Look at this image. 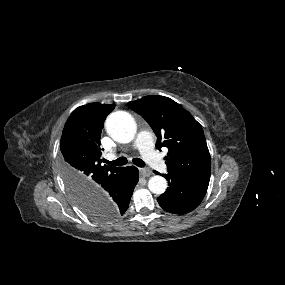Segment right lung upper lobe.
Returning <instances> with one entry per match:
<instances>
[{
    "label": "right lung upper lobe",
    "mask_w": 285,
    "mask_h": 285,
    "mask_svg": "<svg viewBox=\"0 0 285 285\" xmlns=\"http://www.w3.org/2000/svg\"><path fill=\"white\" fill-rule=\"evenodd\" d=\"M114 104L90 103L75 109L65 123L60 150L62 172L80 200L91 202L96 190L124 167L101 165L100 137Z\"/></svg>",
    "instance_id": "right-lung-upper-lobe-1"
}]
</instances>
